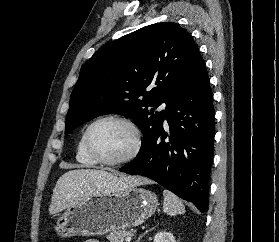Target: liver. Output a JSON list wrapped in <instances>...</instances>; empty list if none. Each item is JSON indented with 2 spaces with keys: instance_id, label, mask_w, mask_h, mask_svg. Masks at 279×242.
Instances as JSON below:
<instances>
[{
  "instance_id": "liver-1",
  "label": "liver",
  "mask_w": 279,
  "mask_h": 242,
  "mask_svg": "<svg viewBox=\"0 0 279 242\" xmlns=\"http://www.w3.org/2000/svg\"><path fill=\"white\" fill-rule=\"evenodd\" d=\"M150 183L143 177L114 175L104 170L76 169L64 173L53 189L49 213L56 214L76 201L110 191H117Z\"/></svg>"
}]
</instances>
